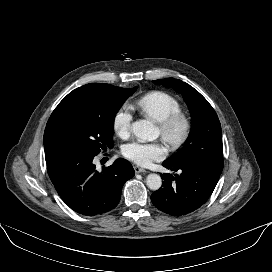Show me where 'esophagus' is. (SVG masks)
<instances>
[{
    "mask_svg": "<svg viewBox=\"0 0 272 272\" xmlns=\"http://www.w3.org/2000/svg\"><path fill=\"white\" fill-rule=\"evenodd\" d=\"M135 173H145L147 172L144 168H141L139 166H134Z\"/></svg>",
    "mask_w": 272,
    "mask_h": 272,
    "instance_id": "34e87169",
    "label": "esophagus"
}]
</instances>
